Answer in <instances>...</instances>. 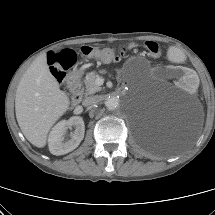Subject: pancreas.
I'll return each instance as SVG.
<instances>
[{
    "instance_id": "cf45deb5",
    "label": "pancreas",
    "mask_w": 215,
    "mask_h": 215,
    "mask_svg": "<svg viewBox=\"0 0 215 215\" xmlns=\"http://www.w3.org/2000/svg\"><path fill=\"white\" fill-rule=\"evenodd\" d=\"M103 71H101L102 73ZM97 77H99L98 72L96 71H92L90 73L86 74L85 77V89H83L84 94L87 95H91L94 94L98 91H100L102 88L96 83V79Z\"/></svg>"
}]
</instances>
